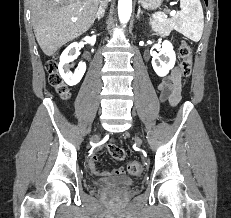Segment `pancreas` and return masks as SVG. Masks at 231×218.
I'll use <instances>...</instances> for the list:
<instances>
[{
  "label": "pancreas",
  "instance_id": "pancreas-1",
  "mask_svg": "<svg viewBox=\"0 0 231 218\" xmlns=\"http://www.w3.org/2000/svg\"><path fill=\"white\" fill-rule=\"evenodd\" d=\"M150 24L152 29L160 36H168L172 30V26L166 22H160L157 20H151Z\"/></svg>",
  "mask_w": 231,
  "mask_h": 218
}]
</instances>
